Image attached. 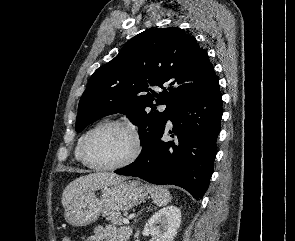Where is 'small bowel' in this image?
Returning <instances> with one entry per match:
<instances>
[{
  "label": "small bowel",
  "instance_id": "small-bowel-1",
  "mask_svg": "<svg viewBox=\"0 0 295 241\" xmlns=\"http://www.w3.org/2000/svg\"><path fill=\"white\" fill-rule=\"evenodd\" d=\"M131 230L127 227H114L111 225L96 226L92 235L86 241H128ZM63 241H67L64 239Z\"/></svg>",
  "mask_w": 295,
  "mask_h": 241
}]
</instances>
